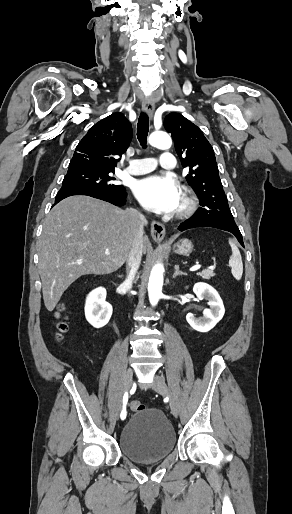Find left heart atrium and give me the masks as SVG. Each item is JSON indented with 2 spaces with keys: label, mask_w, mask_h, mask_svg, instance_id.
Returning a JSON list of instances; mask_svg holds the SVG:
<instances>
[{
  "label": "left heart atrium",
  "mask_w": 292,
  "mask_h": 514,
  "mask_svg": "<svg viewBox=\"0 0 292 514\" xmlns=\"http://www.w3.org/2000/svg\"><path fill=\"white\" fill-rule=\"evenodd\" d=\"M134 194L144 208L158 213L174 211L181 200L179 186L169 175H151L139 180Z\"/></svg>",
  "instance_id": "obj_1"
}]
</instances>
